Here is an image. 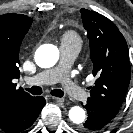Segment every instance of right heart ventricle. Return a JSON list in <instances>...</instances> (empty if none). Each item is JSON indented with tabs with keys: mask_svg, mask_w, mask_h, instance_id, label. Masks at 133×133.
<instances>
[{
	"mask_svg": "<svg viewBox=\"0 0 133 133\" xmlns=\"http://www.w3.org/2000/svg\"><path fill=\"white\" fill-rule=\"evenodd\" d=\"M61 44L66 46L77 47L80 49L82 45V39L75 31L69 30L61 35Z\"/></svg>",
	"mask_w": 133,
	"mask_h": 133,
	"instance_id": "right-heart-ventricle-1",
	"label": "right heart ventricle"
}]
</instances>
